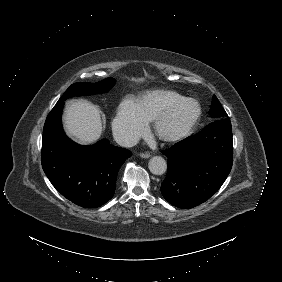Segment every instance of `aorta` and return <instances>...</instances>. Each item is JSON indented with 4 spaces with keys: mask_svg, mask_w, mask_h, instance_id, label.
Instances as JSON below:
<instances>
[{
    "mask_svg": "<svg viewBox=\"0 0 282 282\" xmlns=\"http://www.w3.org/2000/svg\"><path fill=\"white\" fill-rule=\"evenodd\" d=\"M148 168L152 174L162 175L167 170V163L161 156H154L149 160Z\"/></svg>",
    "mask_w": 282,
    "mask_h": 282,
    "instance_id": "1",
    "label": "aorta"
}]
</instances>
